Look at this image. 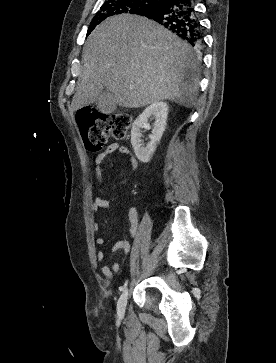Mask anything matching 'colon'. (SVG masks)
I'll return each instance as SVG.
<instances>
[{"label":"colon","instance_id":"obj_1","mask_svg":"<svg viewBox=\"0 0 276 363\" xmlns=\"http://www.w3.org/2000/svg\"><path fill=\"white\" fill-rule=\"evenodd\" d=\"M77 124L86 148L98 152L105 146L108 137L125 138L131 118L126 113H99L81 108L77 111Z\"/></svg>","mask_w":276,"mask_h":363}]
</instances>
